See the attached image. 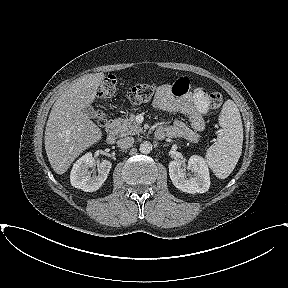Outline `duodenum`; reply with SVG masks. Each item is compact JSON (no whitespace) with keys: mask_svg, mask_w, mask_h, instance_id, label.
Returning <instances> with one entry per match:
<instances>
[{"mask_svg":"<svg viewBox=\"0 0 288 288\" xmlns=\"http://www.w3.org/2000/svg\"><path fill=\"white\" fill-rule=\"evenodd\" d=\"M106 132H107V141L108 143H114L115 138H116V134H117V124L115 123V121L110 120L107 122L106 124ZM155 138L158 140H162L165 138V133L158 129L155 134H154Z\"/></svg>","mask_w":288,"mask_h":288,"instance_id":"410a0bca","label":"duodenum"}]
</instances>
